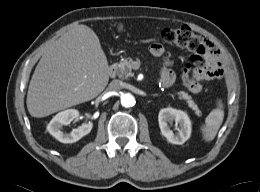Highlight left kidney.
<instances>
[{
    "label": "left kidney",
    "mask_w": 260,
    "mask_h": 192,
    "mask_svg": "<svg viewBox=\"0 0 260 192\" xmlns=\"http://www.w3.org/2000/svg\"><path fill=\"white\" fill-rule=\"evenodd\" d=\"M158 121L162 135L170 143L181 145L189 139L191 135V121L184 111L171 107L163 108L159 112ZM173 121H175L177 133H174L170 128V124Z\"/></svg>",
    "instance_id": "obj_1"
}]
</instances>
